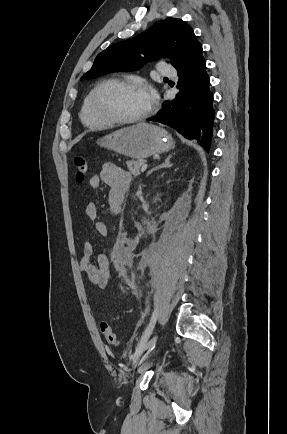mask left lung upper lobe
I'll return each mask as SVG.
<instances>
[{"label": "left lung upper lobe", "instance_id": "1", "mask_svg": "<svg viewBox=\"0 0 287 434\" xmlns=\"http://www.w3.org/2000/svg\"><path fill=\"white\" fill-rule=\"evenodd\" d=\"M201 53L202 45L193 29L181 19L167 18L134 38L106 48L81 79L138 70L145 63L160 57H170L171 64L178 69Z\"/></svg>", "mask_w": 287, "mask_h": 434}]
</instances>
